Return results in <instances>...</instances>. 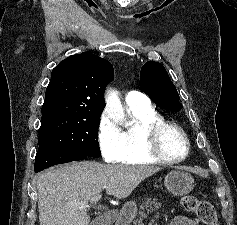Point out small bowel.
Masks as SVG:
<instances>
[{"label":"small bowel","instance_id":"obj_1","mask_svg":"<svg viewBox=\"0 0 237 225\" xmlns=\"http://www.w3.org/2000/svg\"><path fill=\"white\" fill-rule=\"evenodd\" d=\"M170 225H198V222L195 219L180 215L174 217Z\"/></svg>","mask_w":237,"mask_h":225}]
</instances>
